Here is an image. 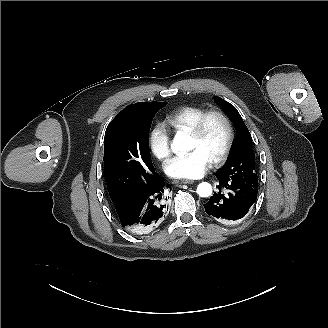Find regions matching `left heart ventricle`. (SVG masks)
Segmentation results:
<instances>
[{
  "label": "left heart ventricle",
  "mask_w": 328,
  "mask_h": 328,
  "mask_svg": "<svg viewBox=\"0 0 328 328\" xmlns=\"http://www.w3.org/2000/svg\"><path fill=\"white\" fill-rule=\"evenodd\" d=\"M227 137L228 129L226 124L215 117L207 123L200 138H194L190 135L188 150H201L213 161L224 149Z\"/></svg>",
  "instance_id": "left-heart-ventricle-1"
}]
</instances>
